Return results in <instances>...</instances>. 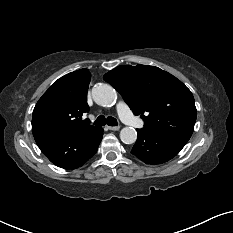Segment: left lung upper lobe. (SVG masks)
<instances>
[{
  "mask_svg": "<svg viewBox=\"0 0 233 233\" xmlns=\"http://www.w3.org/2000/svg\"><path fill=\"white\" fill-rule=\"evenodd\" d=\"M150 132L189 140L197 117L191 91L155 66L124 65L104 75Z\"/></svg>",
  "mask_w": 233,
  "mask_h": 233,
  "instance_id": "left-lung-upper-lobe-1",
  "label": "left lung upper lobe"
}]
</instances>
